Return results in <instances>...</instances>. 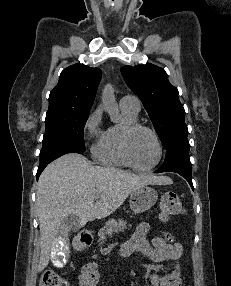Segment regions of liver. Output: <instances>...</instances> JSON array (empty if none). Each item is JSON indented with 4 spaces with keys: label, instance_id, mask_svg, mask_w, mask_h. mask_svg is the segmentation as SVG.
<instances>
[{
    "label": "liver",
    "instance_id": "liver-1",
    "mask_svg": "<svg viewBox=\"0 0 231 286\" xmlns=\"http://www.w3.org/2000/svg\"><path fill=\"white\" fill-rule=\"evenodd\" d=\"M169 184H172L169 177L135 175L118 168L93 166L76 153L50 163L39 178L36 192L41 248L38 272L48 266L66 216L76 215L81 227L112 214L138 188Z\"/></svg>",
    "mask_w": 231,
    "mask_h": 286
}]
</instances>
